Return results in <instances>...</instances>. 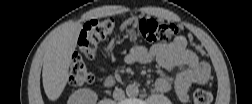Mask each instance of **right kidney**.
Segmentation results:
<instances>
[{
  "instance_id": "ca27d5eb",
  "label": "right kidney",
  "mask_w": 252,
  "mask_h": 104,
  "mask_svg": "<svg viewBox=\"0 0 252 104\" xmlns=\"http://www.w3.org/2000/svg\"><path fill=\"white\" fill-rule=\"evenodd\" d=\"M97 95L90 89H80L72 93L68 99L69 104H95Z\"/></svg>"
}]
</instances>
